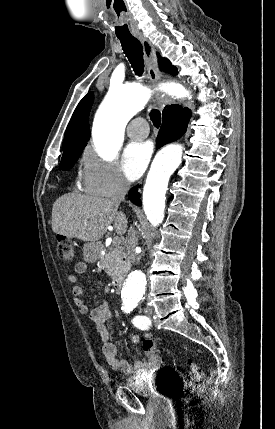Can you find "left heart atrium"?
<instances>
[{
  "mask_svg": "<svg viewBox=\"0 0 275 429\" xmlns=\"http://www.w3.org/2000/svg\"><path fill=\"white\" fill-rule=\"evenodd\" d=\"M152 153L149 142H131L126 146L122 156V169L126 177L134 181L145 171Z\"/></svg>",
  "mask_w": 275,
  "mask_h": 429,
  "instance_id": "1",
  "label": "left heart atrium"
}]
</instances>
